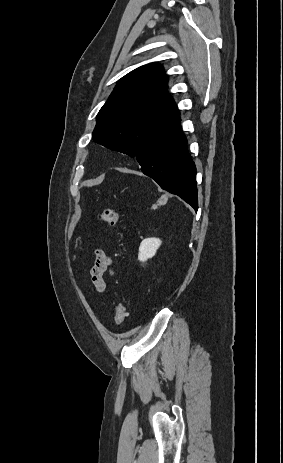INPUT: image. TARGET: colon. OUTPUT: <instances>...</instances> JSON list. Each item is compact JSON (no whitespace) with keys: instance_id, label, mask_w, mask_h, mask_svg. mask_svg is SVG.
I'll list each match as a JSON object with an SVG mask.
<instances>
[{"instance_id":"obj_1","label":"colon","mask_w":283,"mask_h":463,"mask_svg":"<svg viewBox=\"0 0 283 463\" xmlns=\"http://www.w3.org/2000/svg\"><path fill=\"white\" fill-rule=\"evenodd\" d=\"M98 219L101 223L110 227H115L118 224L119 217L118 213L114 209H104L99 212ZM127 315L126 303L121 300L115 309L114 322L117 326H121L125 321Z\"/></svg>"}]
</instances>
